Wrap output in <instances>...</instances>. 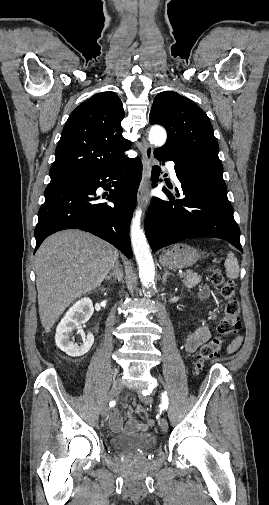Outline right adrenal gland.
<instances>
[{
    "instance_id": "obj_1",
    "label": "right adrenal gland",
    "mask_w": 269,
    "mask_h": 505,
    "mask_svg": "<svg viewBox=\"0 0 269 505\" xmlns=\"http://www.w3.org/2000/svg\"><path fill=\"white\" fill-rule=\"evenodd\" d=\"M112 277H114V279L118 282H120L123 278V271L118 260L116 261L112 271L106 276V280H110Z\"/></svg>"
}]
</instances>
